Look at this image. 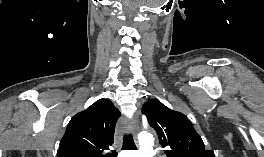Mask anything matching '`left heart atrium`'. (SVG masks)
Here are the masks:
<instances>
[{"label":"left heart atrium","instance_id":"1","mask_svg":"<svg viewBox=\"0 0 264 157\" xmlns=\"http://www.w3.org/2000/svg\"><path fill=\"white\" fill-rule=\"evenodd\" d=\"M121 157H138V156H135V155H129V154H123Z\"/></svg>","mask_w":264,"mask_h":157}]
</instances>
